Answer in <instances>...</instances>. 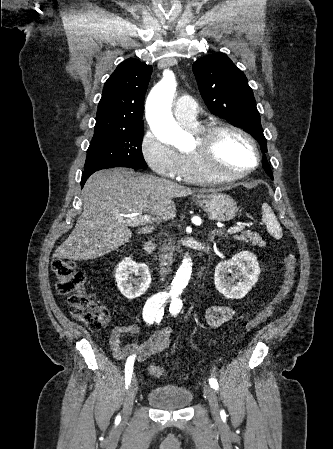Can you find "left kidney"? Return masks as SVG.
Instances as JSON below:
<instances>
[{"mask_svg":"<svg viewBox=\"0 0 333 449\" xmlns=\"http://www.w3.org/2000/svg\"><path fill=\"white\" fill-rule=\"evenodd\" d=\"M238 269L239 282L233 284V269ZM260 267L257 257L248 251H241L230 260L221 262L215 269V286L225 297L231 299L243 298L258 281Z\"/></svg>","mask_w":333,"mask_h":449,"instance_id":"left-kidney-1","label":"left kidney"}]
</instances>
